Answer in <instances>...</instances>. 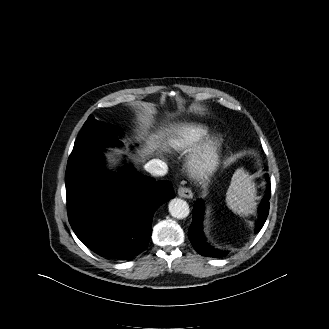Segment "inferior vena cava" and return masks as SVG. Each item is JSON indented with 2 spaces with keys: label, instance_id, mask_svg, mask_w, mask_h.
<instances>
[{
  "label": "inferior vena cava",
  "instance_id": "1",
  "mask_svg": "<svg viewBox=\"0 0 329 329\" xmlns=\"http://www.w3.org/2000/svg\"><path fill=\"white\" fill-rule=\"evenodd\" d=\"M144 169L153 176H164L168 171V166L160 159H152L145 164Z\"/></svg>",
  "mask_w": 329,
  "mask_h": 329
}]
</instances>
